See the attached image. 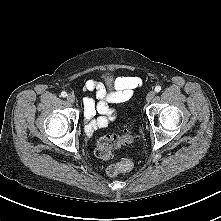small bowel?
<instances>
[{"label":"small bowel","mask_w":221,"mask_h":221,"mask_svg":"<svg viewBox=\"0 0 221 221\" xmlns=\"http://www.w3.org/2000/svg\"><path fill=\"white\" fill-rule=\"evenodd\" d=\"M140 84L141 80L137 76L117 77L112 81L113 90L108 91L103 83L94 79L88 80L85 89L95 92L98 102L96 103L90 97H86L84 100V115L88 120L86 134L91 137L96 129L107 126L115 116V111L110 104L129 100ZM96 113L101 116L95 118Z\"/></svg>","instance_id":"small-bowel-1"}]
</instances>
